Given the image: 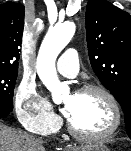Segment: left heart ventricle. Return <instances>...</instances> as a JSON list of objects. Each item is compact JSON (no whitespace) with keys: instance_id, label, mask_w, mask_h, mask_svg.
<instances>
[{"instance_id":"1","label":"left heart ventricle","mask_w":131,"mask_h":151,"mask_svg":"<svg viewBox=\"0 0 131 151\" xmlns=\"http://www.w3.org/2000/svg\"><path fill=\"white\" fill-rule=\"evenodd\" d=\"M64 105L69 109L68 119L76 129L98 134L107 131L113 123V110L99 93L68 94Z\"/></svg>"}]
</instances>
